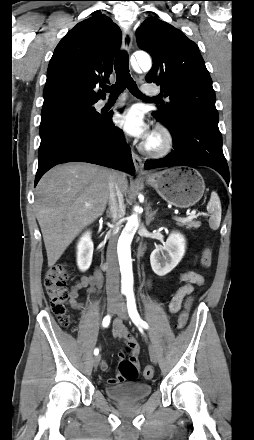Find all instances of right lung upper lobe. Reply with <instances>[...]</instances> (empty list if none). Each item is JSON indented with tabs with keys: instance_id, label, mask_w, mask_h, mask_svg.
I'll return each mask as SVG.
<instances>
[{
	"instance_id": "1",
	"label": "right lung upper lobe",
	"mask_w": 254,
	"mask_h": 440,
	"mask_svg": "<svg viewBox=\"0 0 254 440\" xmlns=\"http://www.w3.org/2000/svg\"><path fill=\"white\" fill-rule=\"evenodd\" d=\"M121 44L120 28L105 15L78 23L59 42L47 70L44 101L59 95L99 100Z\"/></svg>"
}]
</instances>
